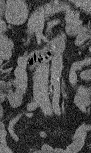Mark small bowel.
Returning <instances> with one entry per match:
<instances>
[{"instance_id": "obj_1", "label": "small bowel", "mask_w": 91, "mask_h": 153, "mask_svg": "<svg viewBox=\"0 0 91 153\" xmlns=\"http://www.w3.org/2000/svg\"><path fill=\"white\" fill-rule=\"evenodd\" d=\"M1 25L5 27L4 23H2ZM9 48H10V43H8L6 46H3L1 48V56L3 58H7L10 56ZM72 81L74 84H76V73L72 75ZM26 84H27L26 63L23 59H20L15 69V78L10 84H8V85H13L16 88V90L14 92L12 91L5 92V98L9 101L11 105L13 106L20 105L25 94ZM76 104L79 107V109L83 112L87 110L90 104V98L87 91L80 85H77ZM12 124H14V121L12 122ZM89 130L90 126L88 124H82L78 128L73 139L65 148L54 150L47 144H41L39 147L31 149L29 152L76 153L82 147L85 137ZM11 135L15 141L19 140L18 137L13 132H11ZM6 136H7V131L4 128H1L0 129L1 151L4 153H10V149L6 145Z\"/></svg>"}]
</instances>
